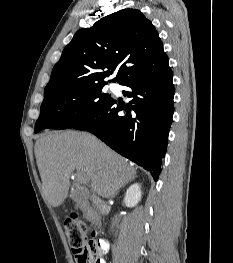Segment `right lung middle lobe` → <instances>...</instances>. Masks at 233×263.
Instances as JSON below:
<instances>
[{"label":"right lung middle lobe","mask_w":233,"mask_h":263,"mask_svg":"<svg viewBox=\"0 0 233 263\" xmlns=\"http://www.w3.org/2000/svg\"><path fill=\"white\" fill-rule=\"evenodd\" d=\"M104 85H89L44 98L35 133L45 128H71L91 117L113 99L102 93Z\"/></svg>","instance_id":"right-lung-middle-lobe-1"}]
</instances>
